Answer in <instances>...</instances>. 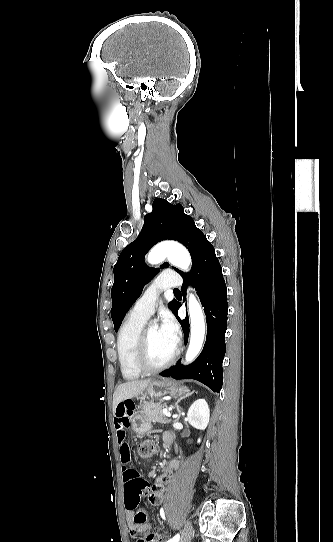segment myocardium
Masks as SVG:
<instances>
[{
    "mask_svg": "<svg viewBox=\"0 0 333 542\" xmlns=\"http://www.w3.org/2000/svg\"><path fill=\"white\" fill-rule=\"evenodd\" d=\"M180 343L175 347L171 357L161 364H151L148 360V328L143 329L138 336L134 347L133 361L135 368L144 374H152L160 372L171 366L180 354Z\"/></svg>",
    "mask_w": 333,
    "mask_h": 542,
    "instance_id": "f54148a6",
    "label": "myocardium"
}]
</instances>
